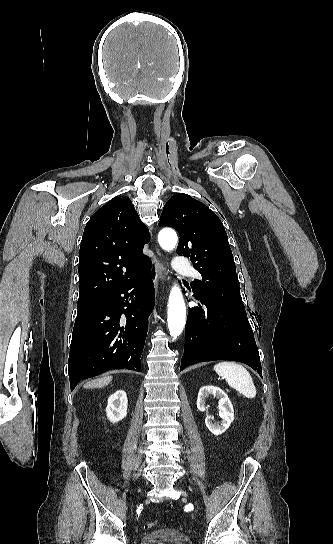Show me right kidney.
Returning a JSON list of instances; mask_svg holds the SVG:
<instances>
[{"label": "right kidney", "mask_w": 333, "mask_h": 544, "mask_svg": "<svg viewBox=\"0 0 333 544\" xmlns=\"http://www.w3.org/2000/svg\"><path fill=\"white\" fill-rule=\"evenodd\" d=\"M127 395L123 390H118L108 398L106 414L110 422L116 423L127 415Z\"/></svg>", "instance_id": "ca27d5eb"}]
</instances>
